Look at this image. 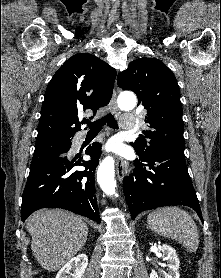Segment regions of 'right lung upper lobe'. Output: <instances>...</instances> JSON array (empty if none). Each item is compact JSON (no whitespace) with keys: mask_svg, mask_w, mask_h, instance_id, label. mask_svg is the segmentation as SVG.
Returning a JSON list of instances; mask_svg holds the SVG:
<instances>
[{"mask_svg":"<svg viewBox=\"0 0 221 278\" xmlns=\"http://www.w3.org/2000/svg\"><path fill=\"white\" fill-rule=\"evenodd\" d=\"M115 78L116 70L92 54L68 59L47 86L36 145L71 138L81 130L84 119L80 122L79 116L109 103Z\"/></svg>","mask_w":221,"mask_h":278,"instance_id":"right-lung-upper-lobe-1","label":"right lung upper lobe"}]
</instances>
